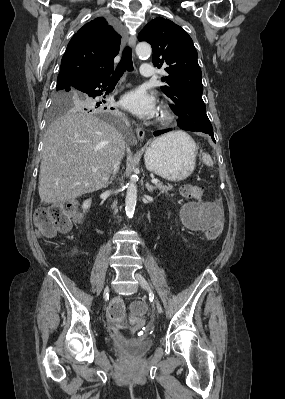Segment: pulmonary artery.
I'll return each mask as SVG.
<instances>
[{"label": "pulmonary artery", "mask_w": 285, "mask_h": 399, "mask_svg": "<svg viewBox=\"0 0 285 399\" xmlns=\"http://www.w3.org/2000/svg\"><path fill=\"white\" fill-rule=\"evenodd\" d=\"M140 76L145 78H152L154 76V69L150 63H142L140 67Z\"/></svg>", "instance_id": "obj_1"}]
</instances>
